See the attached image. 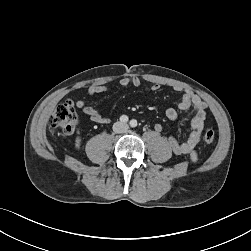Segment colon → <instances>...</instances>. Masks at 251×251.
<instances>
[{
  "label": "colon",
  "mask_w": 251,
  "mask_h": 251,
  "mask_svg": "<svg viewBox=\"0 0 251 251\" xmlns=\"http://www.w3.org/2000/svg\"><path fill=\"white\" fill-rule=\"evenodd\" d=\"M49 129L51 132L62 131L67 134H76V143L79 142L77 114L73 101L67 100L56 107L49 120ZM203 139L206 144H213L215 140L214 131L206 130Z\"/></svg>",
  "instance_id": "colon-1"
}]
</instances>
